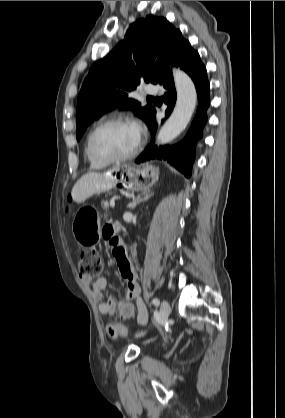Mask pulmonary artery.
Here are the masks:
<instances>
[{
    "label": "pulmonary artery",
    "instance_id": "pulmonary-artery-1",
    "mask_svg": "<svg viewBox=\"0 0 285 418\" xmlns=\"http://www.w3.org/2000/svg\"><path fill=\"white\" fill-rule=\"evenodd\" d=\"M159 91V88L156 86H146L144 88V93L145 94H157Z\"/></svg>",
    "mask_w": 285,
    "mask_h": 418
}]
</instances>
